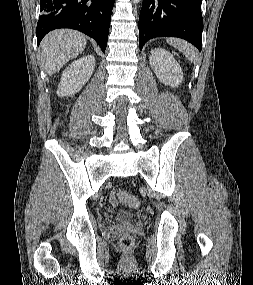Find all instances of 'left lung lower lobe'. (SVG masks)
I'll use <instances>...</instances> for the list:
<instances>
[{"label":"left lung lower lobe","instance_id":"0a47b994","mask_svg":"<svg viewBox=\"0 0 253 285\" xmlns=\"http://www.w3.org/2000/svg\"><path fill=\"white\" fill-rule=\"evenodd\" d=\"M202 0H143L139 16V47L152 38L179 37L201 51Z\"/></svg>","mask_w":253,"mask_h":285}]
</instances>
